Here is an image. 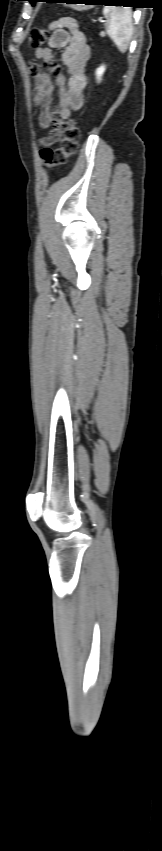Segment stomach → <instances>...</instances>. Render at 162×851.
Segmentation results:
<instances>
[{
    "mask_svg": "<svg viewBox=\"0 0 162 851\" xmlns=\"http://www.w3.org/2000/svg\"><path fill=\"white\" fill-rule=\"evenodd\" d=\"M94 1H95V0H68V1H66V2H67V3H69V4H70V6H71L73 9H76V10H85V9H87V8H89V7H92V6H90V5H86V4H89V2H94ZM77 3H85V4H77Z\"/></svg>",
    "mask_w": 162,
    "mask_h": 851,
    "instance_id": "0dacf381",
    "label": "stomach"
}]
</instances>
